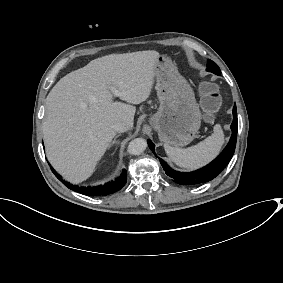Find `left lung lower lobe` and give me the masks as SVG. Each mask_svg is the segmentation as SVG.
Wrapping results in <instances>:
<instances>
[{"mask_svg":"<svg viewBox=\"0 0 283 283\" xmlns=\"http://www.w3.org/2000/svg\"><path fill=\"white\" fill-rule=\"evenodd\" d=\"M232 136L223 152L207 166L189 173L178 172L171 169L164 160L159 158L165 173L171 177L175 183L180 185H195L208 182L214 179L229 163L231 160L236 146L237 140V111L236 105L233 107V122L231 125ZM148 145L152 152L155 154V146L149 140Z\"/></svg>","mask_w":283,"mask_h":283,"instance_id":"0a47b994","label":"left lung lower lobe"}]
</instances>
